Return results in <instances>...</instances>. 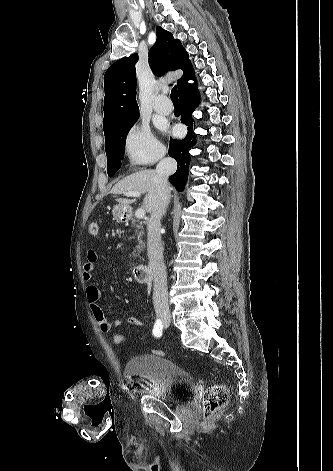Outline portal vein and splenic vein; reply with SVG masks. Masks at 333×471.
<instances>
[{"label":"portal vein and splenic vein","instance_id":"obj_1","mask_svg":"<svg viewBox=\"0 0 333 471\" xmlns=\"http://www.w3.org/2000/svg\"><path fill=\"white\" fill-rule=\"evenodd\" d=\"M125 195L128 196V197H139L141 195V193L137 192V191H130V192L125 193ZM135 216L138 219L144 218L145 210L142 209V208L137 209L136 212H135Z\"/></svg>","mask_w":333,"mask_h":471}]
</instances>
